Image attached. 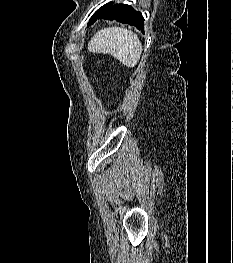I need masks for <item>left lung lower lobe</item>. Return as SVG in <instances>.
<instances>
[{"mask_svg":"<svg viewBox=\"0 0 233 263\" xmlns=\"http://www.w3.org/2000/svg\"><path fill=\"white\" fill-rule=\"evenodd\" d=\"M98 18L117 20L135 26L142 31L144 29V18L142 14L126 4H112L104 10L95 13L90 19L89 24L94 23Z\"/></svg>","mask_w":233,"mask_h":263,"instance_id":"1","label":"left lung lower lobe"}]
</instances>
